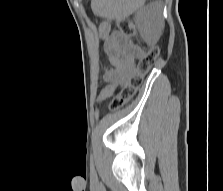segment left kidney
I'll list each match as a JSON object with an SVG mask.
<instances>
[{
	"mask_svg": "<svg viewBox=\"0 0 223 191\" xmlns=\"http://www.w3.org/2000/svg\"><path fill=\"white\" fill-rule=\"evenodd\" d=\"M136 23L142 38L147 43H156L164 28L162 5L156 2L145 6L137 15Z\"/></svg>",
	"mask_w": 223,
	"mask_h": 191,
	"instance_id": "1",
	"label": "left kidney"
}]
</instances>
